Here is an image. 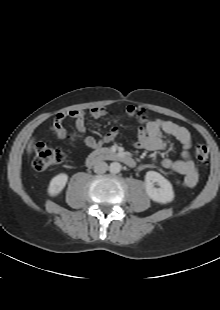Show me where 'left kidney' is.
Returning <instances> with one entry per match:
<instances>
[{"instance_id":"obj_1","label":"left kidney","mask_w":220,"mask_h":310,"mask_svg":"<svg viewBox=\"0 0 220 310\" xmlns=\"http://www.w3.org/2000/svg\"><path fill=\"white\" fill-rule=\"evenodd\" d=\"M155 184L159 188L155 187ZM145 188L150 199L155 202L166 204L174 200V191L171 183L158 172L148 171L146 173Z\"/></svg>"}]
</instances>
